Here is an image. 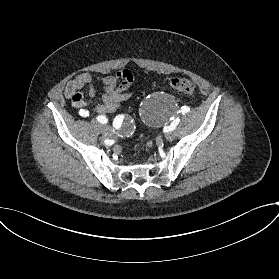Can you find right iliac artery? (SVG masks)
<instances>
[{"instance_id":"82829eb1","label":"right iliac artery","mask_w":279,"mask_h":279,"mask_svg":"<svg viewBox=\"0 0 279 279\" xmlns=\"http://www.w3.org/2000/svg\"><path fill=\"white\" fill-rule=\"evenodd\" d=\"M80 117H88V118H92L93 117V114L92 113H89L88 111L86 110H80ZM97 120L102 123V124H106L107 123V118L105 116H98L97 117ZM126 125V120L124 117L122 116H117L114 118L113 120V126L117 129H122L124 128Z\"/></svg>"}]
</instances>
